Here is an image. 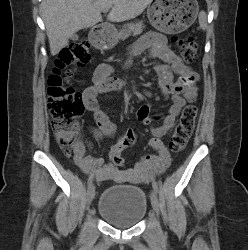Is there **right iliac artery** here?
Here are the masks:
<instances>
[{"instance_id": "82829eb1", "label": "right iliac artery", "mask_w": 248, "mask_h": 250, "mask_svg": "<svg viewBox=\"0 0 248 250\" xmlns=\"http://www.w3.org/2000/svg\"><path fill=\"white\" fill-rule=\"evenodd\" d=\"M93 178H94L93 175H90V176L88 177V180H87V185H88V186H90V185L92 184Z\"/></svg>"}]
</instances>
